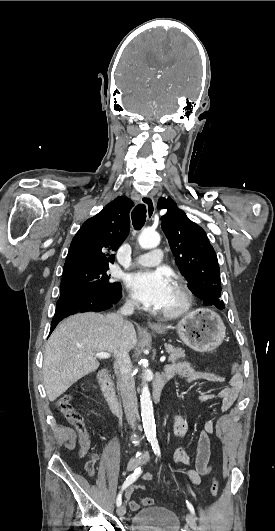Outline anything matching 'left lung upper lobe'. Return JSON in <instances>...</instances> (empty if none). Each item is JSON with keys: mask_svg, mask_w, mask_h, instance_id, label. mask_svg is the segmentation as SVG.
Returning a JSON list of instances; mask_svg holds the SVG:
<instances>
[{"mask_svg": "<svg viewBox=\"0 0 275 531\" xmlns=\"http://www.w3.org/2000/svg\"><path fill=\"white\" fill-rule=\"evenodd\" d=\"M157 208L167 209L161 217L162 230L189 289L205 305L224 309V302L220 299V268L205 231L192 222L170 197L160 198Z\"/></svg>", "mask_w": 275, "mask_h": 531, "instance_id": "5c2ea615", "label": "left lung upper lobe"}]
</instances>
